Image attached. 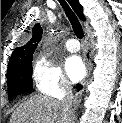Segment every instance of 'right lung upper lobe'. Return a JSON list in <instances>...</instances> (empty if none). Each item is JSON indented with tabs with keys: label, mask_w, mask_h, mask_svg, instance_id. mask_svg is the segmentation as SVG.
Returning <instances> with one entry per match:
<instances>
[{
	"label": "right lung upper lobe",
	"mask_w": 122,
	"mask_h": 123,
	"mask_svg": "<svg viewBox=\"0 0 122 123\" xmlns=\"http://www.w3.org/2000/svg\"><path fill=\"white\" fill-rule=\"evenodd\" d=\"M71 7L74 9L76 14L79 16L81 20H85L83 16L82 6L80 5L78 0H68ZM33 37L31 40L23 47L16 48L11 56L9 61L8 70L14 67L19 66L24 61L31 59L35 48L37 47L41 35H42V28L39 24H36L32 29Z\"/></svg>",
	"instance_id": "obj_1"
}]
</instances>
